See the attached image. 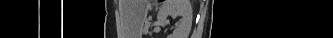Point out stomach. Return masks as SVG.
<instances>
[{
    "instance_id": "obj_1",
    "label": "stomach",
    "mask_w": 333,
    "mask_h": 38,
    "mask_svg": "<svg viewBox=\"0 0 333 38\" xmlns=\"http://www.w3.org/2000/svg\"><path fill=\"white\" fill-rule=\"evenodd\" d=\"M145 10L142 12V15H141V19H142V21H144V18H145Z\"/></svg>"
}]
</instances>
